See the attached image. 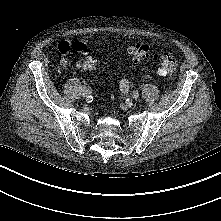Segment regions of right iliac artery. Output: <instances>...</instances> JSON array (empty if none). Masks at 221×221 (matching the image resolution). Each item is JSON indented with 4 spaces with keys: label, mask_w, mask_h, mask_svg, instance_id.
Instances as JSON below:
<instances>
[{
    "label": "right iliac artery",
    "mask_w": 221,
    "mask_h": 221,
    "mask_svg": "<svg viewBox=\"0 0 221 221\" xmlns=\"http://www.w3.org/2000/svg\"><path fill=\"white\" fill-rule=\"evenodd\" d=\"M85 89L88 90L89 94L91 93V88L88 86V87H84Z\"/></svg>",
    "instance_id": "82829eb1"
}]
</instances>
